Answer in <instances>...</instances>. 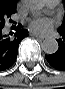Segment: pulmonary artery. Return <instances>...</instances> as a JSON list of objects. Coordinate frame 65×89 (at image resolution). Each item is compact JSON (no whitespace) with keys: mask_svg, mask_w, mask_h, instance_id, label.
Segmentation results:
<instances>
[{"mask_svg":"<svg viewBox=\"0 0 65 89\" xmlns=\"http://www.w3.org/2000/svg\"><path fill=\"white\" fill-rule=\"evenodd\" d=\"M58 4V0H46V5L48 7H55Z\"/></svg>","mask_w":65,"mask_h":89,"instance_id":"e3ab8cb5","label":"pulmonary artery"}]
</instances>
